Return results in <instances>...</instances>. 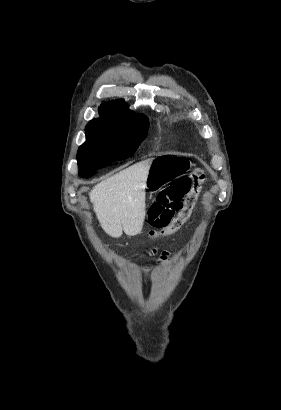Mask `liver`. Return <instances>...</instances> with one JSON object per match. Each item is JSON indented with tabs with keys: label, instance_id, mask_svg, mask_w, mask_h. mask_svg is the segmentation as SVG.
Masks as SVG:
<instances>
[{
	"label": "liver",
	"instance_id": "6515ba94",
	"mask_svg": "<svg viewBox=\"0 0 281 410\" xmlns=\"http://www.w3.org/2000/svg\"><path fill=\"white\" fill-rule=\"evenodd\" d=\"M152 160L135 163L90 191L93 209L108 235L119 238L123 231L128 236L142 232L146 215L144 190Z\"/></svg>",
	"mask_w": 281,
	"mask_h": 410
}]
</instances>
